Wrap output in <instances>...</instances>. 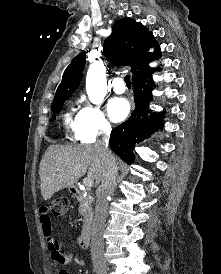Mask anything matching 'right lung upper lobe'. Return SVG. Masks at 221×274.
<instances>
[{
	"label": "right lung upper lobe",
	"instance_id": "1",
	"mask_svg": "<svg viewBox=\"0 0 221 274\" xmlns=\"http://www.w3.org/2000/svg\"><path fill=\"white\" fill-rule=\"evenodd\" d=\"M154 47V52L148 50ZM104 53L113 64L131 66L132 79L152 68L149 63L161 56L155 38L141 23L126 18L116 21L111 35L104 42ZM86 52L78 54L64 71L55 97L71 95L80 83Z\"/></svg>",
	"mask_w": 221,
	"mask_h": 274
}]
</instances>
